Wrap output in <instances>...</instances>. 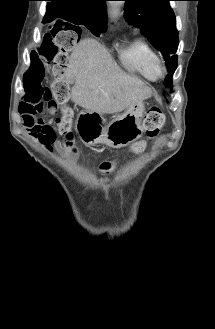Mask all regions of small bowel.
Here are the masks:
<instances>
[{"label": "small bowel", "instance_id": "small-bowel-1", "mask_svg": "<svg viewBox=\"0 0 215 329\" xmlns=\"http://www.w3.org/2000/svg\"><path fill=\"white\" fill-rule=\"evenodd\" d=\"M23 122L27 128L30 136L39 141L45 147H52L53 145H59L56 134L52 128L46 129L45 123L40 122L36 117L33 116H23ZM51 127V126H49ZM72 154H76V150L72 149Z\"/></svg>", "mask_w": 215, "mask_h": 329}]
</instances>
